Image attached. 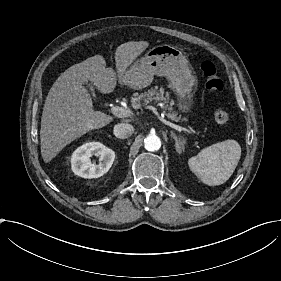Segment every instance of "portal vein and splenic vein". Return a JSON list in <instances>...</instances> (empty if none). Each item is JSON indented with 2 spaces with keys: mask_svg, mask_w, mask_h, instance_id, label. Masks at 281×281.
Returning a JSON list of instances; mask_svg holds the SVG:
<instances>
[{
  "mask_svg": "<svg viewBox=\"0 0 281 281\" xmlns=\"http://www.w3.org/2000/svg\"><path fill=\"white\" fill-rule=\"evenodd\" d=\"M144 109L151 110L159 120H163L164 125L173 127V130L190 134L192 135V137H198V132H195V130L185 127H180V125L174 124L173 121H167L166 119L163 118V116L161 117L160 114L158 113V110L154 106L146 105ZM112 112L118 118H131L133 116V113L130 109L118 107V106L113 107ZM193 141L195 142L196 144L195 146L197 147V149L200 150L201 148L198 145V141L195 139Z\"/></svg>",
  "mask_w": 281,
  "mask_h": 281,
  "instance_id": "portal-vein-and-splenic-vein-1",
  "label": "portal vein and splenic vein"
}]
</instances>
